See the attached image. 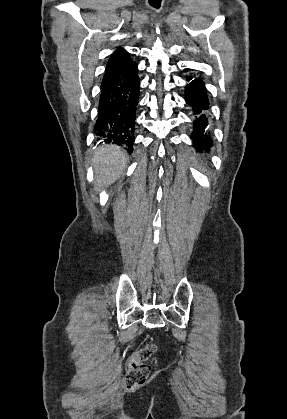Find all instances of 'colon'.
I'll list each match as a JSON object with an SVG mask.
<instances>
[{
	"label": "colon",
	"mask_w": 287,
	"mask_h": 419,
	"mask_svg": "<svg viewBox=\"0 0 287 419\" xmlns=\"http://www.w3.org/2000/svg\"><path fill=\"white\" fill-rule=\"evenodd\" d=\"M155 353L156 346L148 344L132 356L125 378L128 389H136L145 383L150 374L148 361Z\"/></svg>",
	"instance_id": "1"
}]
</instances>
